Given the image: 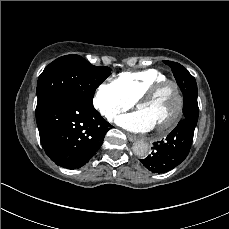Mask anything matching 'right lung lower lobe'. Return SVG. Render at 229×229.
I'll return each instance as SVG.
<instances>
[{"label":"right lung lower lobe","instance_id":"right-lung-lower-lobe-1","mask_svg":"<svg viewBox=\"0 0 229 229\" xmlns=\"http://www.w3.org/2000/svg\"><path fill=\"white\" fill-rule=\"evenodd\" d=\"M36 120L44 151L57 165L68 169L89 162L112 127L93 104L74 96L52 101Z\"/></svg>","mask_w":229,"mask_h":229}]
</instances>
